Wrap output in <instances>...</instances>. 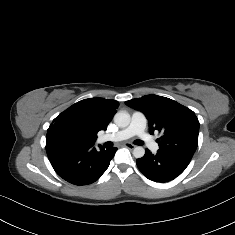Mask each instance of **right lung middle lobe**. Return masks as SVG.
<instances>
[{"label":"right lung middle lobe","mask_w":235,"mask_h":235,"mask_svg":"<svg viewBox=\"0 0 235 235\" xmlns=\"http://www.w3.org/2000/svg\"><path fill=\"white\" fill-rule=\"evenodd\" d=\"M63 138H64L65 142H69V143L80 142V138L77 135V133L73 130H70V129L65 131Z\"/></svg>","instance_id":"dd1d6c3e"}]
</instances>
